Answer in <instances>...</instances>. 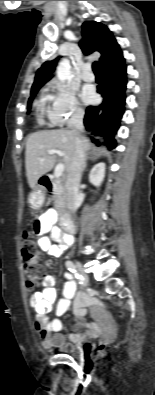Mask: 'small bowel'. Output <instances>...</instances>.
Listing matches in <instances>:
<instances>
[{"mask_svg":"<svg viewBox=\"0 0 155 395\" xmlns=\"http://www.w3.org/2000/svg\"><path fill=\"white\" fill-rule=\"evenodd\" d=\"M57 214L54 210H48L42 214L34 224V232L39 236L38 247L51 256H59L64 253L74 242V238L63 234L54 227ZM50 232V237L44 236ZM67 281L63 285V297L57 298L55 279L51 275L42 278L43 288H34V294L30 297V305L35 310L34 328L42 345L46 349L61 348L66 344V337L58 332L62 329L60 319L70 307L74 316L79 320L76 329L86 328V333H73L69 340L75 344L84 342L90 337L100 333L101 326L96 323H83L81 320L86 315L87 307L92 306L95 313H100L99 303L96 299L89 298L83 293L77 294V285L71 274L65 275ZM55 305V318H49L48 314ZM52 333H56L52 335Z\"/></svg>","mask_w":155,"mask_h":395,"instance_id":"c3829d8e","label":"small bowel"}]
</instances>
